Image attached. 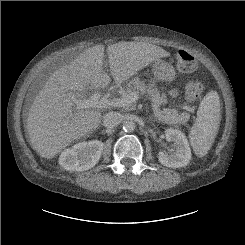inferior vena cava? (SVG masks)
<instances>
[{
    "instance_id": "602c4592",
    "label": "inferior vena cava",
    "mask_w": 245,
    "mask_h": 245,
    "mask_svg": "<svg viewBox=\"0 0 245 245\" xmlns=\"http://www.w3.org/2000/svg\"><path fill=\"white\" fill-rule=\"evenodd\" d=\"M122 121V115L118 112H108L103 117V125L107 128L118 126Z\"/></svg>"
}]
</instances>
